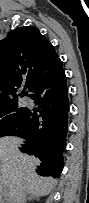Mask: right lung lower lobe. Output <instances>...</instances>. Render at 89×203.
Here are the masks:
<instances>
[{"instance_id": "1", "label": "right lung lower lobe", "mask_w": 89, "mask_h": 203, "mask_svg": "<svg viewBox=\"0 0 89 203\" xmlns=\"http://www.w3.org/2000/svg\"><path fill=\"white\" fill-rule=\"evenodd\" d=\"M38 108H30L10 134L26 140L20 150L41 163L36 172L60 177L68 130V88L62 65L40 77L29 90Z\"/></svg>"}]
</instances>
